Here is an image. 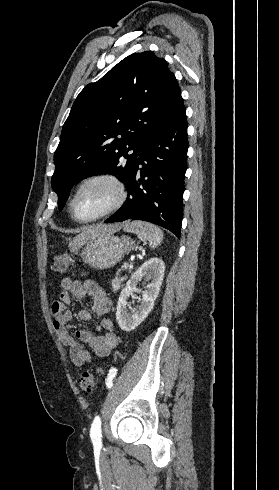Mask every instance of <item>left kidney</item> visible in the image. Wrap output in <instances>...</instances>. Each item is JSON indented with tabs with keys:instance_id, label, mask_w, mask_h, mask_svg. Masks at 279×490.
<instances>
[{
	"instance_id": "obj_1",
	"label": "left kidney",
	"mask_w": 279,
	"mask_h": 490,
	"mask_svg": "<svg viewBox=\"0 0 279 490\" xmlns=\"http://www.w3.org/2000/svg\"><path fill=\"white\" fill-rule=\"evenodd\" d=\"M165 272V264L161 258H150L144 262L128 280L124 290H122L116 308V322L123 332H132L141 322H144L151 310L154 302L159 296ZM141 280L149 282L142 292L140 306L134 312H128V298L137 292V286Z\"/></svg>"
}]
</instances>
